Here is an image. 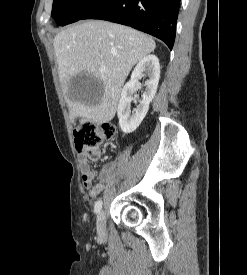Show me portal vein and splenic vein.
I'll return each mask as SVG.
<instances>
[{
    "mask_svg": "<svg viewBox=\"0 0 247 275\" xmlns=\"http://www.w3.org/2000/svg\"><path fill=\"white\" fill-rule=\"evenodd\" d=\"M101 71H103V72H107V71H108V69H107L105 66H103V67H101Z\"/></svg>",
    "mask_w": 247,
    "mask_h": 275,
    "instance_id": "portal-vein-and-splenic-vein-1",
    "label": "portal vein and splenic vein"
}]
</instances>
